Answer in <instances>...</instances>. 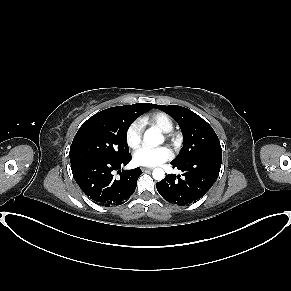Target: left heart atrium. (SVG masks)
<instances>
[{
    "mask_svg": "<svg viewBox=\"0 0 291 291\" xmlns=\"http://www.w3.org/2000/svg\"><path fill=\"white\" fill-rule=\"evenodd\" d=\"M172 157L171 151L166 147L152 148L142 146L134 151L133 160L137 165L153 167Z\"/></svg>",
    "mask_w": 291,
    "mask_h": 291,
    "instance_id": "obj_1",
    "label": "left heart atrium"
}]
</instances>
